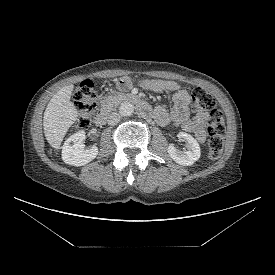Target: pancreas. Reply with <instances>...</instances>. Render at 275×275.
Masks as SVG:
<instances>
[{
	"label": "pancreas",
	"mask_w": 275,
	"mask_h": 275,
	"mask_svg": "<svg viewBox=\"0 0 275 275\" xmlns=\"http://www.w3.org/2000/svg\"><path fill=\"white\" fill-rule=\"evenodd\" d=\"M129 97H130L129 94H123L115 91L113 92V94L106 96L102 103H103V106L114 107Z\"/></svg>",
	"instance_id": "obj_1"
}]
</instances>
